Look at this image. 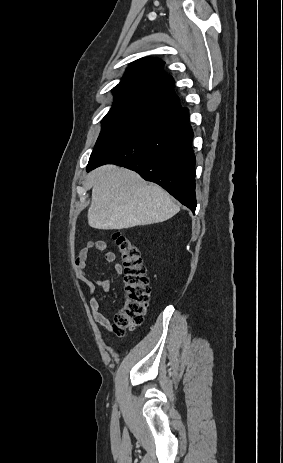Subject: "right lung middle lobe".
Wrapping results in <instances>:
<instances>
[{"label":"right lung middle lobe","instance_id":"right-lung-middle-lobe-1","mask_svg":"<svg viewBox=\"0 0 283 463\" xmlns=\"http://www.w3.org/2000/svg\"><path fill=\"white\" fill-rule=\"evenodd\" d=\"M159 115L162 114L157 109L115 96L113 107L102 120V131L91 156Z\"/></svg>","mask_w":283,"mask_h":463}]
</instances>
